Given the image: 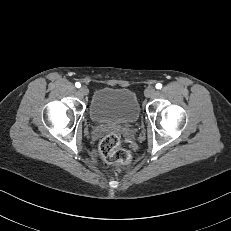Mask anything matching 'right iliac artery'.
<instances>
[{"label":"right iliac artery","instance_id":"1","mask_svg":"<svg viewBox=\"0 0 231 231\" xmlns=\"http://www.w3.org/2000/svg\"><path fill=\"white\" fill-rule=\"evenodd\" d=\"M75 86H76L77 88H80V87H81V84H80L79 82H76V83H75Z\"/></svg>","mask_w":231,"mask_h":231}]
</instances>
